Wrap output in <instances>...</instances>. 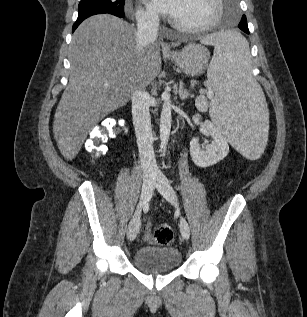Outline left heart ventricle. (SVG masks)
Wrapping results in <instances>:
<instances>
[{"label": "left heart ventricle", "mask_w": 307, "mask_h": 317, "mask_svg": "<svg viewBox=\"0 0 307 317\" xmlns=\"http://www.w3.org/2000/svg\"><path fill=\"white\" fill-rule=\"evenodd\" d=\"M215 11L214 0H183L173 19L185 26H199L208 23Z\"/></svg>", "instance_id": "obj_1"}]
</instances>
